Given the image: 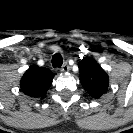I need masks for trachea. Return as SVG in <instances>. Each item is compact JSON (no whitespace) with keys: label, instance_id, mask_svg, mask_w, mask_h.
Listing matches in <instances>:
<instances>
[{"label":"trachea","instance_id":"obj_1","mask_svg":"<svg viewBox=\"0 0 133 133\" xmlns=\"http://www.w3.org/2000/svg\"><path fill=\"white\" fill-rule=\"evenodd\" d=\"M63 59L62 56L59 53H56L52 57V66L54 68H60L62 66Z\"/></svg>","mask_w":133,"mask_h":133}]
</instances>
